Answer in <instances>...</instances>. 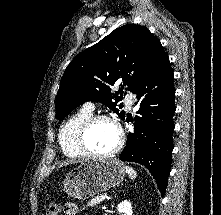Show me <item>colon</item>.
<instances>
[{"mask_svg": "<svg viewBox=\"0 0 221 215\" xmlns=\"http://www.w3.org/2000/svg\"><path fill=\"white\" fill-rule=\"evenodd\" d=\"M59 206L55 203H51L47 206L46 215H59Z\"/></svg>", "mask_w": 221, "mask_h": 215, "instance_id": "obj_1", "label": "colon"}]
</instances>
